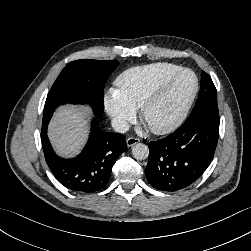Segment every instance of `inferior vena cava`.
I'll list each match as a JSON object with an SVG mask.
<instances>
[{
  "mask_svg": "<svg viewBox=\"0 0 251 251\" xmlns=\"http://www.w3.org/2000/svg\"><path fill=\"white\" fill-rule=\"evenodd\" d=\"M112 128L119 133H125L129 130V124L127 121L120 119V118H114L111 120Z\"/></svg>",
  "mask_w": 251,
  "mask_h": 251,
  "instance_id": "inferior-vena-cava-1",
  "label": "inferior vena cava"
}]
</instances>
